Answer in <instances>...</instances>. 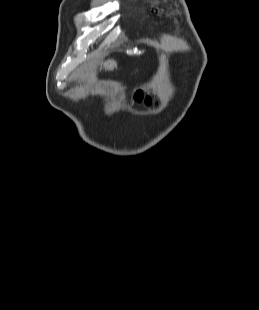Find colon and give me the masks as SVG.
Segmentation results:
<instances>
[{
    "mask_svg": "<svg viewBox=\"0 0 259 310\" xmlns=\"http://www.w3.org/2000/svg\"><path fill=\"white\" fill-rule=\"evenodd\" d=\"M136 97H137L138 99H140V100L144 99V96H143V94H141V93H137V94H136Z\"/></svg>",
    "mask_w": 259,
    "mask_h": 310,
    "instance_id": "obj_1",
    "label": "colon"
}]
</instances>
